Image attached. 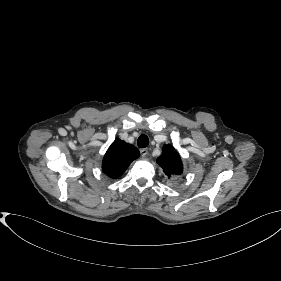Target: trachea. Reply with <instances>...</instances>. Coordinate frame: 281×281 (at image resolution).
Segmentation results:
<instances>
[{
    "label": "trachea",
    "mask_w": 281,
    "mask_h": 281,
    "mask_svg": "<svg viewBox=\"0 0 281 281\" xmlns=\"http://www.w3.org/2000/svg\"><path fill=\"white\" fill-rule=\"evenodd\" d=\"M137 144H138V147L140 148H145L149 145V139L146 135H141L139 136L138 140H137Z\"/></svg>",
    "instance_id": "trachea-1"
}]
</instances>
